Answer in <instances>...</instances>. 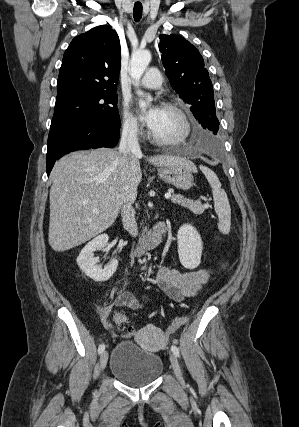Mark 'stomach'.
Returning <instances> with one entry per match:
<instances>
[{"label":"stomach","mask_w":299,"mask_h":427,"mask_svg":"<svg viewBox=\"0 0 299 427\" xmlns=\"http://www.w3.org/2000/svg\"><path fill=\"white\" fill-rule=\"evenodd\" d=\"M191 170L184 167H163L158 169L159 177L181 190H188L194 184Z\"/></svg>","instance_id":"1"}]
</instances>
